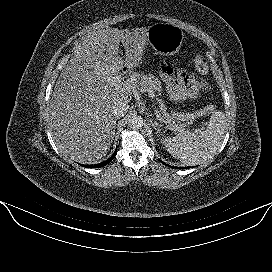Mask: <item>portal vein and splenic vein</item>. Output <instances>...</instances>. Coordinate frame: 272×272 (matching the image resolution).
<instances>
[{
  "label": "portal vein and splenic vein",
  "instance_id": "portal-vein-and-splenic-vein-1",
  "mask_svg": "<svg viewBox=\"0 0 272 272\" xmlns=\"http://www.w3.org/2000/svg\"><path fill=\"white\" fill-rule=\"evenodd\" d=\"M146 91H147L149 97L152 99V102H154V97H155L154 91L152 89H150V88L147 89ZM154 110H155V114L159 118V120L161 122L165 123L164 119L160 116L159 111L156 109V107L154 108ZM195 132L198 133L197 130H195Z\"/></svg>",
  "mask_w": 272,
  "mask_h": 272
}]
</instances>
